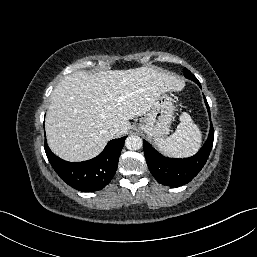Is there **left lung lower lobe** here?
<instances>
[{"instance_id": "0a47b994", "label": "left lung lower lobe", "mask_w": 257, "mask_h": 257, "mask_svg": "<svg viewBox=\"0 0 257 257\" xmlns=\"http://www.w3.org/2000/svg\"><path fill=\"white\" fill-rule=\"evenodd\" d=\"M200 87V82L195 80ZM210 116V108L204 96ZM214 140V130L210 123V133L203 147L197 154L184 159L168 158L157 152L144 140V154L151 174L163 185L179 187L190 182L203 168L211 152Z\"/></svg>"}]
</instances>
